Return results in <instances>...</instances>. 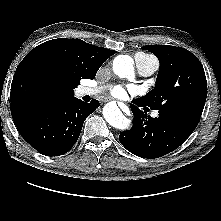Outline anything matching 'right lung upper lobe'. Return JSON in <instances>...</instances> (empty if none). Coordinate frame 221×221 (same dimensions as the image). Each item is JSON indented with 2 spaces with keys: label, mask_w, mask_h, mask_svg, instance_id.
Here are the masks:
<instances>
[{
  "label": "right lung upper lobe",
  "mask_w": 221,
  "mask_h": 221,
  "mask_svg": "<svg viewBox=\"0 0 221 221\" xmlns=\"http://www.w3.org/2000/svg\"><path fill=\"white\" fill-rule=\"evenodd\" d=\"M116 51L80 39H53L32 49L18 65L11 85V113L59 104L74 97L81 79H93Z\"/></svg>",
  "instance_id": "obj_1"
}]
</instances>
